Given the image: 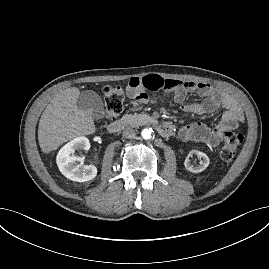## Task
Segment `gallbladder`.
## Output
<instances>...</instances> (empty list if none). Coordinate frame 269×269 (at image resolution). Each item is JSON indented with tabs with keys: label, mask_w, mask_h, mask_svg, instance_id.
Returning a JSON list of instances; mask_svg holds the SVG:
<instances>
[{
	"label": "gallbladder",
	"mask_w": 269,
	"mask_h": 269,
	"mask_svg": "<svg viewBox=\"0 0 269 269\" xmlns=\"http://www.w3.org/2000/svg\"><path fill=\"white\" fill-rule=\"evenodd\" d=\"M79 109L89 112L94 119H102L105 109L101 97L92 90L82 91L77 99Z\"/></svg>",
	"instance_id": "bac80fb5"
}]
</instances>
